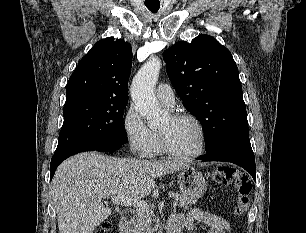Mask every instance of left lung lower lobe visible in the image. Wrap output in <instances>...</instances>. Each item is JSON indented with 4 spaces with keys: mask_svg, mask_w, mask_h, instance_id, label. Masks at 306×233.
<instances>
[{
    "mask_svg": "<svg viewBox=\"0 0 306 233\" xmlns=\"http://www.w3.org/2000/svg\"><path fill=\"white\" fill-rule=\"evenodd\" d=\"M207 153L205 157L198 159L202 161H225L234 163L247 170L256 181L255 158L249 138L223 142L207 151Z\"/></svg>",
    "mask_w": 306,
    "mask_h": 233,
    "instance_id": "1",
    "label": "left lung lower lobe"
}]
</instances>
